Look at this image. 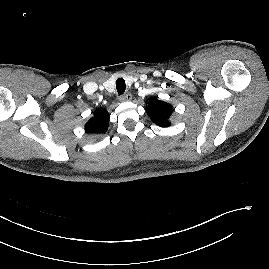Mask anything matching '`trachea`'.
I'll list each match as a JSON object with an SVG mask.
<instances>
[{
	"label": "trachea",
	"mask_w": 269,
	"mask_h": 269,
	"mask_svg": "<svg viewBox=\"0 0 269 269\" xmlns=\"http://www.w3.org/2000/svg\"><path fill=\"white\" fill-rule=\"evenodd\" d=\"M116 89L119 95L124 94L125 89H126V84L123 78H119L116 80Z\"/></svg>",
	"instance_id": "obj_1"
}]
</instances>
